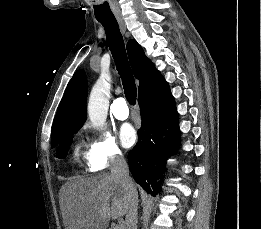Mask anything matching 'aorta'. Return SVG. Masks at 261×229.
Instances as JSON below:
<instances>
[{
    "mask_svg": "<svg viewBox=\"0 0 261 229\" xmlns=\"http://www.w3.org/2000/svg\"><path fill=\"white\" fill-rule=\"evenodd\" d=\"M109 78L110 74L108 70H103L90 92L88 100V117L94 127L104 125L107 119L111 86V84L107 82Z\"/></svg>",
    "mask_w": 261,
    "mask_h": 229,
    "instance_id": "obj_1",
    "label": "aorta"
}]
</instances>
